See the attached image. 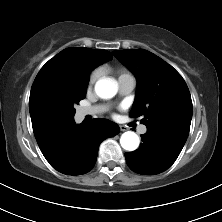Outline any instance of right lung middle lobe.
Listing matches in <instances>:
<instances>
[{"label":"right lung middle lobe","mask_w":222,"mask_h":222,"mask_svg":"<svg viewBox=\"0 0 222 222\" xmlns=\"http://www.w3.org/2000/svg\"><path fill=\"white\" fill-rule=\"evenodd\" d=\"M89 73L75 71L60 80L56 90L47 93L42 103L44 120L72 119L75 104L86 96Z\"/></svg>","instance_id":"1"}]
</instances>
